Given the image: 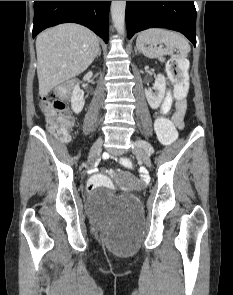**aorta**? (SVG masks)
<instances>
[{"mask_svg": "<svg viewBox=\"0 0 233 295\" xmlns=\"http://www.w3.org/2000/svg\"><path fill=\"white\" fill-rule=\"evenodd\" d=\"M125 9L126 1L111 2L112 21L119 34H124L125 32Z\"/></svg>", "mask_w": 233, "mask_h": 295, "instance_id": "762f6f07", "label": "aorta"}]
</instances>
